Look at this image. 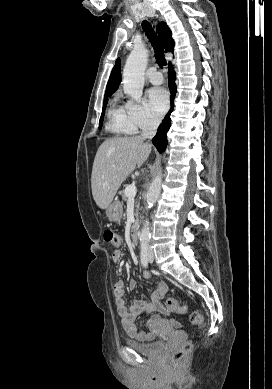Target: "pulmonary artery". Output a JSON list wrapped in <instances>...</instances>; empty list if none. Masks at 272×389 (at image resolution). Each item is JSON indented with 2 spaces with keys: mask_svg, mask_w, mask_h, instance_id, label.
<instances>
[{
  "mask_svg": "<svg viewBox=\"0 0 272 389\" xmlns=\"http://www.w3.org/2000/svg\"><path fill=\"white\" fill-rule=\"evenodd\" d=\"M148 80L151 84L153 85H160L163 82V76L160 72L158 71H152L148 75Z\"/></svg>",
  "mask_w": 272,
  "mask_h": 389,
  "instance_id": "e3ab8cb5",
  "label": "pulmonary artery"
}]
</instances>
